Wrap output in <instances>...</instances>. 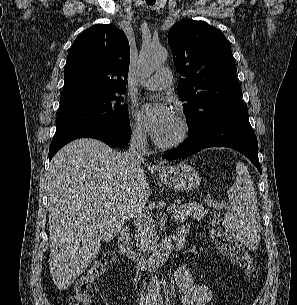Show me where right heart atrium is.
<instances>
[{
    "label": "right heart atrium",
    "mask_w": 297,
    "mask_h": 305,
    "mask_svg": "<svg viewBox=\"0 0 297 305\" xmlns=\"http://www.w3.org/2000/svg\"><path fill=\"white\" fill-rule=\"evenodd\" d=\"M129 133L131 139L136 143H143L146 141L147 134L143 123L136 113L131 115L129 123Z\"/></svg>",
    "instance_id": "right-heart-atrium-1"
}]
</instances>
